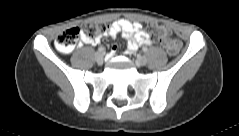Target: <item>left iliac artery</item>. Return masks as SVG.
I'll return each mask as SVG.
<instances>
[{"label": "left iliac artery", "instance_id": "left-iliac-artery-1", "mask_svg": "<svg viewBox=\"0 0 239 136\" xmlns=\"http://www.w3.org/2000/svg\"><path fill=\"white\" fill-rule=\"evenodd\" d=\"M147 51V48H143V52H146Z\"/></svg>", "mask_w": 239, "mask_h": 136}]
</instances>
